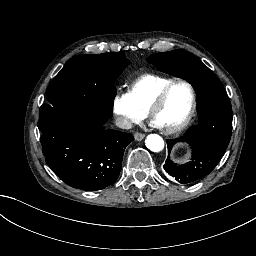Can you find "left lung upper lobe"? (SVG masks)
I'll return each instance as SVG.
<instances>
[{
	"label": "left lung upper lobe",
	"instance_id": "1",
	"mask_svg": "<svg viewBox=\"0 0 256 256\" xmlns=\"http://www.w3.org/2000/svg\"><path fill=\"white\" fill-rule=\"evenodd\" d=\"M147 61L165 73L190 82L198 99L199 125L193 126L183 137L167 140L168 154L175 143H189L193 150L192 159L177 165L168 157L165 171L168 174L208 175L219 163L231 138L232 110L224 87L207 66L186 51L156 53Z\"/></svg>",
	"mask_w": 256,
	"mask_h": 256
}]
</instances>
